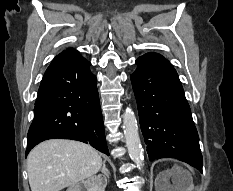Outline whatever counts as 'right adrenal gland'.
I'll list each match as a JSON object with an SVG mask.
<instances>
[{"mask_svg":"<svg viewBox=\"0 0 233 191\" xmlns=\"http://www.w3.org/2000/svg\"><path fill=\"white\" fill-rule=\"evenodd\" d=\"M102 174L104 175L105 179L106 178H110V172L109 170L106 168V165H105V161H103V166H102V170H101ZM106 183H107V179H106Z\"/></svg>","mask_w":233,"mask_h":191,"instance_id":"right-adrenal-gland-1","label":"right adrenal gland"}]
</instances>
